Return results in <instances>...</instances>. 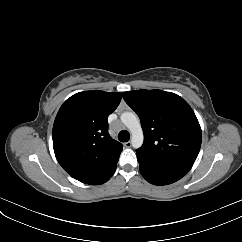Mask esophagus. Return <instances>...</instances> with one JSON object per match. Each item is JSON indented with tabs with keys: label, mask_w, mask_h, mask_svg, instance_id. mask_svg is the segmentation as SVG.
<instances>
[{
	"label": "esophagus",
	"mask_w": 242,
	"mask_h": 242,
	"mask_svg": "<svg viewBox=\"0 0 242 242\" xmlns=\"http://www.w3.org/2000/svg\"><path fill=\"white\" fill-rule=\"evenodd\" d=\"M131 145H132V143H131L130 141L124 143V146H125L126 148L131 147Z\"/></svg>",
	"instance_id": "1"
}]
</instances>
